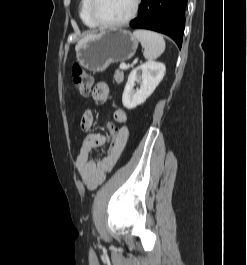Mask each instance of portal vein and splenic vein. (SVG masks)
<instances>
[{
  "mask_svg": "<svg viewBox=\"0 0 247 265\" xmlns=\"http://www.w3.org/2000/svg\"><path fill=\"white\" fill-rule=\"evenodd\" d=\"M130 66L126 65L125 63L120 64L119 68L122 70L128 69Z\"/></svg>",
  "mask_w": 247,
  "mask_h": 265,
  "instance_id": "portal-vein-and-splenic-vein-1",
  "label": "portal vein and splenic vein"
}]
</instances>
